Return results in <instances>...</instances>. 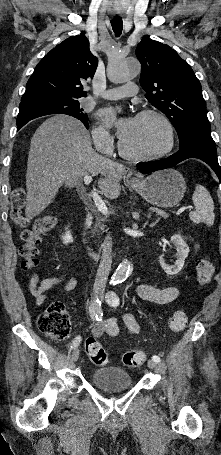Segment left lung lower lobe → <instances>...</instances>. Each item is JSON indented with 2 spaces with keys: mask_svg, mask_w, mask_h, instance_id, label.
Segmentation results:
<instances>
[{
  "mask_svg": "<svg viewBox=\"0 0 221 455\" xmlns=\"http://www.w3.org/2000/svg\"><path fill=\"white\" fill-rule=\"evenodd\" d=\"M188 158H198L206 162L221 181V168L218 164L216 145L213 139L193 138L180 146L179 151L170 157L157 161L140 162L137 164V168L141 173L147 174L170 168Z\"/></svg>",
  "mask_w": 221,
  "mask_h": 455,
  "instance_id": "left-lung-lower-lobe-1",
  "label": "left lung lower lobe"
}]
</instances>
